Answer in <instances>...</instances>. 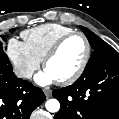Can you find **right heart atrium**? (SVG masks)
Returning a JSON list of instances; mask_svg holds the SVG:
<instances>
[{
	"mask_svg": "<svg viewBox=\"0 0 119 119\" xmlns=\"http://www.w3.org/2000/svg\"><path fill=\"white\" fill-rule=\"evenodd\" d=\"M7 54L16 74L23 79H30L40 67V60L31 53L25 42L17 38L9 40Z\"/></svg>",
	"mask_w": 119,
	"mask_h": 119,
	"instance_id": "1",
	"label": "right heart atrium"
}]
</instances>
